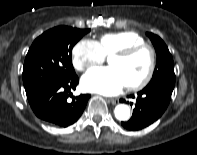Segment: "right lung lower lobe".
<instances>
[{"mask_svg": "<svg viewBox=\"0 0 197 155\" xmlns=\"http://www.w3.org/2000/svg\"><path fill=\"white\" fill-rule=\"evenodd\" d=\"M77 84L78 77L74 74L59 82L49 83L27 96L36 116L57 127L73 124L81 116L90 98L89 94H85L73 97L71 103L67 101Z\"/></svg>", "mask_w": 197, "mask_h": 155, "instance_id": "obj_1", "label": "right lung lower lobe"}]
</instances>
